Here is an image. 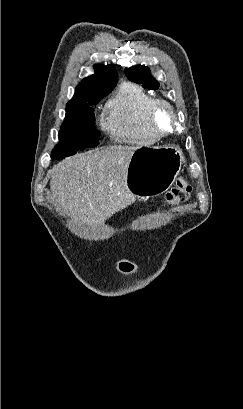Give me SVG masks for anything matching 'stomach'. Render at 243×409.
I'll return each mask as SVG.
<instances>
[{
    "label": "stomach",
    "mask_w": 243,
    "mask_h": 409,
    "mask_svg": "<svg viewBox=\"0 0 243 409\" xmlns=\"http://www.w3.org/2000/svg\"><path fill=\"white\" fill-rule=\"evenodd\" d=\"M183 161L182 151L175 146L138 148L128 165V192L148 197L167 191L178 176Z\"/></svg>",
    "instance_id": "obj_1"
}]
</instances>
